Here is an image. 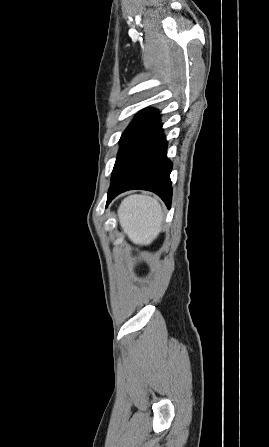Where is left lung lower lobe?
Wrapping results in <instances>:
<instances>
[{
	"label": "left lung lower lobe",
	"instance_id": "1",
	"mask_svg": "<svg viewBox=\"0 0 269 447\" xmlns=\"http://www.w3.org/2000/svg\"><path fill=\"white\" fill-rule=\"evenodd\" d=\"M166 151L167 142L159 123L130 153L111 181L107 205L124 191L144 189L160 196L169 209L172 200V162L167 158Z\"/></svg>",
	"mask_w": 269,
	"mask_h": 447
}]
</instances>
